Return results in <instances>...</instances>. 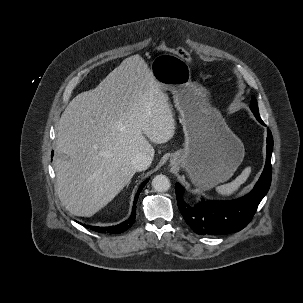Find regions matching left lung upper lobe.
<instances>
[{"mask_svg": "<svg viewBox=\"0 0 303 303\" xmlns=\"http://www.w3.org/2000/svg\"><path fill=\"white\" fill-rule=\"evenodd\" d=\"M250 108H251V110H252V112L254 113L255 116H259L257 101H256L255 97H252Z\"/></svg>", "mask_w": 303, "mask_h": 303, "instance_id": "1", "label": "left lung upper lobe"}]
</instances>
